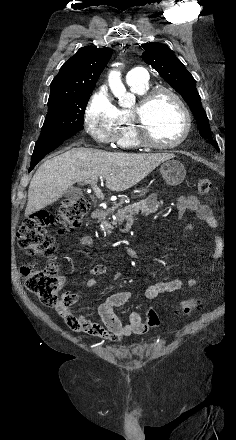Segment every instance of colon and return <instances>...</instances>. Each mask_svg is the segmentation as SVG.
I'll use <instances>...</instances> for the list:
<instances>
[{"label": "colon", "instance_id": "colon-1", "mask_svg": "<svg viewBox=\"0 0 236 440\" xmlns=\"http://www.w3.org/2000/svg\"><path fill=\"white\" fill-rule=\"evenodd\" d=\"M212 188L208 178L198 180V191L207 194ZM89 201L85 197L67 199L62 202L54 213L40 211L26 218L18 229V242L20 247L35 260L46 259L47 264L42 268L31 265L21 267V275L26 288L36 295L46 306L56 309L68 324L69 321H85L75 318L68 312L70 303L64 293L61 292L65 277L55 261L57 251L54 237L48 232L50 225H58V233L74 230L79 227L89 210ZM201 302L198 299H188L181 303L179 311L189 315L199 309ZM147 327L155 328L160 324L158 313L149 309L145 313Z\"/></svg>", "mask_w": 236, "mask_h": 440}]
</instances>
